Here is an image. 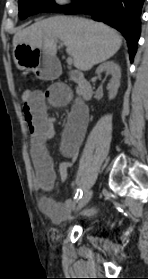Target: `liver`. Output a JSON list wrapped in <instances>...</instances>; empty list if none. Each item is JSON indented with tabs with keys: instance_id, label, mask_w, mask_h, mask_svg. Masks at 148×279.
<instances>
[{
	"instance_id": "liver-1",
	"label": "liver",
	"mask_w": 148,
	"mask_h": 279,
	"mask_svg": "<svg viewBox=\"0 0 148 279\" xmlns=\"http://www.w3.org/2000/svg\"><path fill=\"white\" fill-rule=\"evenodd\" d=\"M66 46L74 66L88 71L111 58L121 47V36L109 26L79 17L56 16L38 21L17 32L13 46L21 44L42 49L56 57L57 41Z\"/></svg>"
}]
</instances>
